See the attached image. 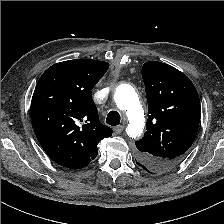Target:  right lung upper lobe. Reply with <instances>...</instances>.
Masks as SVG:
<instances>
[{
	"instance_id": "right-lung-upper-lobe-1",
	"label": "right lung upper lobe",
	"mask_w": 224,
	"mask_h": 224,
	"mask_svg": "<svg viewBox=\"0 0 224 224\" xmlns=\"http://www.w3.org/2000/svg\"><path fill=\"white\" fill-rule=\"evenodd\" d=\"M109 64L91 59L56 63L39 78L31 102L36 137L59 165L83 168L98 154L97 145L112 135L100 123L92 88Z\"/></svg>"
}]
</instances>
